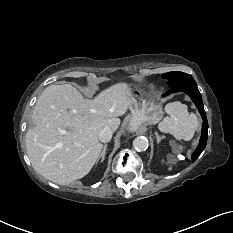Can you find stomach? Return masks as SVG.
I'll return each instance as SVG.
<instances>
[{"instance_id":"1","label":"stomach","mask_w":233,"mask_h":233,"mask_svg":"<svg viewBox=\"0 0 233 233\" xmlns=\"http://www.w3.org/2000/svg\"><path fill=\"white\" fill-rule=\"evenodd\" d=\"M131 100V125L137 128L145 124H155L163 115L162 103L155 97H147L141 91H134L127 85Z\"/></svg>"}]
</instances>
